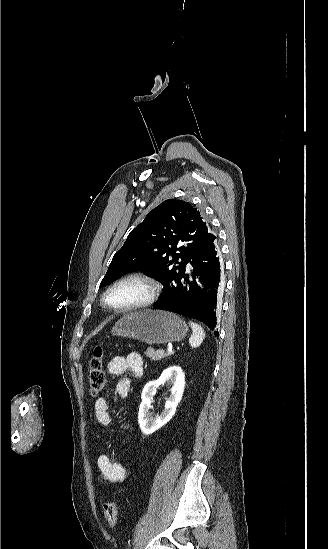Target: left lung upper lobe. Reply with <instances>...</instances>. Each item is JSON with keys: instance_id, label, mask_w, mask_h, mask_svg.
<instances>
[{"instance_id": "left-lung-upper-lobe-1", "label": "left lung upper lobe", "mask_w": 328, "mask_h": 549, "mask_svg": "<svg viewBox=\"0 0 328 549\" xmlns=\"http://www.w3.org/2000/svg\"><path fill=\"white\" fill-rule=\"evenodd\" d=\"M215 239L196 208L182 200L168 199L130 232L100 286L137 270L164 285L163 298L173 290L191 259Z\"/></svg>"}]
</instances>
